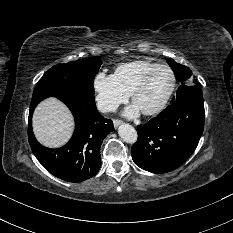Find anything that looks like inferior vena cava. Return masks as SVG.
Returning a JSON list of instances; mask_svg holds the SVG:
<instances>
[{
	"label": "inferior vena cava",
	"instance_id": "obj_1",
	"mask_svg": "<svg viewBox=\"0 0 233 233\" xmlns=\"http://www.w3.org/2000/svg\"><path fill=\"white\" fill-rule=\"evenodd\" d=\"M97 107L101 112H115L118 108V105L112 102L99 101Z\"/></svg>",
	"mask_w": 233,
	"mask_h": 233
}]
</instances>
